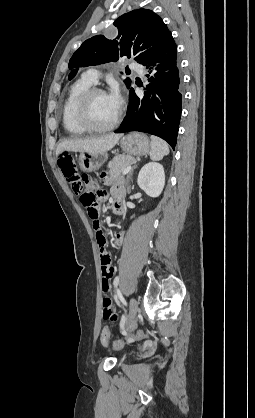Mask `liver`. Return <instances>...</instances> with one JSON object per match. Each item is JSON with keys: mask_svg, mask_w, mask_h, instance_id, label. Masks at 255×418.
Masks as SVG:
<instances>
[{"mask_svg": "<svg viewBox=\"0 0 255 418\" xmlns=\"http://www.w3.org/2000/svg\"><path fill=\"white\" fill-rule=\"evenodd\" d=\"M123 134H109L103 137L88 139H66L61 141L56 149V157L64 151L87 152V153H106L111 150L119 141Z\"/></svg>", "mask_w": 255, "mask_h": 418, "instance_id": "obj_1", "label": "liver"}]
</instances>
